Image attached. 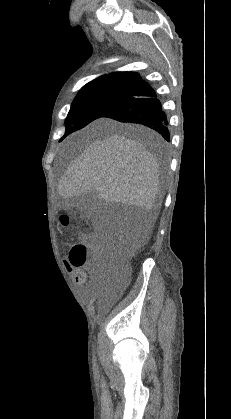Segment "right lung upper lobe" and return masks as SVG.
<instances>
[{
  "label": "right lung upper lobe",
  "mask_w": 231,
  "mask_h": 419,
  "mask_svg": "<svg viewBox=\"0 0 231 419\" xmlns=\"http://www.w3.org/2000/svg\"><path fill=\"white\" fill-rule=\"evenodd\" d=\"M141 77L135 72H115L100 76L83 86L82 89L99 86H131L136 87ZM81 89V90H82Z\"/></svg>",
  "instance_id": "right-lung-upper-lobe-1"
}]
</instances>
